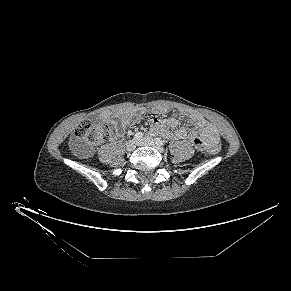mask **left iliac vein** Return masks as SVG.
I'll list each match as a JSON object with an SVG mask.
<instances>
[{"mask_svg":"<svg viewBox=\"0 0 291 291\" xmlns=\"http://www.w3.org/2000/svg\"><path fill=\"white\" fill-rule=\"evenodd\" d=\"M137 144L139 146H152V147L156 148L157 150H159L160 152L164 151L162 146L156 144L155 141L149 137H145L143 139L138 140Z\"/></svg>","mask_w":291,"mask_h":291,"instance_id":"4c4485c4","label":"left iliac vein"}]
</instances>
